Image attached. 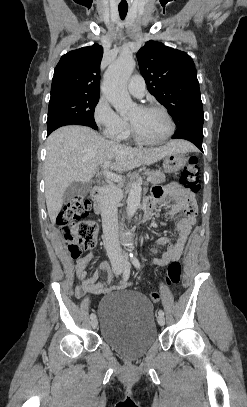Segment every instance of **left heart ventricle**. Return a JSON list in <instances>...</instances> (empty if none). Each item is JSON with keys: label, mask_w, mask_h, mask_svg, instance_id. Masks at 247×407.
I'll list each match as a JSON object with an SVG mask.
<instances>
[{"label": "left heart ventricle", "mask_w": 247, "mask_h": 407, "mask_svg": "<svg viewBox=\"0 0 247 407\" xmlns=\"http://www.w3.org/2000/svg\"><path fill=\"white\" fill-rule=\"evenodd\" d=\"M139 135L146 140H159L168 130L166 117L158 110H143L137 107L128 117Z\"/></svg>", "instance_id": "obj_1"}]
</instances>
